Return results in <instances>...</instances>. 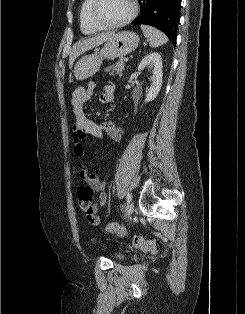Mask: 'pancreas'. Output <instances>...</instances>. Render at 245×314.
Segmentation results:
<instances>
[{
  "label": "pancreas",
  "mask_w": 245,
  "mask_h": 314,
  "mask_svg": "<svg viewBox=\"0 0 245 314\" xmlns=\"http://www.w3.org/2000/svg\"><path fill=\"white\" fill-rule=\"evenodd\" d=\"M124 69H125L124 59H120L115 65L106 68L105 71L109 72L110 75H114V73H116L117 75L122 76Z\"/></svg>",
  "instance_id": "cf45deb5"
}]
</instances>
